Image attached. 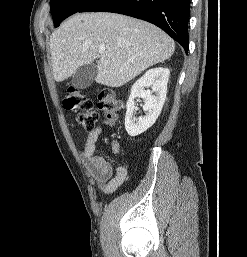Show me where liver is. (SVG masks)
Listing matches in <instances>:
<instances>
[{
    "mask_svg": "<svg viewBox=\"0 0 247 257\" xmlns=\"http://www.w3.org/2000/svg\"><path fill=\"white\" fill-rule=\"evenodd\" d=\"M100 49H104L102 54ZM174 50V41L155 25L116 13L76 14L50 36L57 82L99 59L96 82L121 87L148 67L170 58Z\"/></svg>",
    "mask_w": 247,
    "mask_h": 257,
    "instance_id": "obj_1",
    "label": "liver"
}]
</instances>
